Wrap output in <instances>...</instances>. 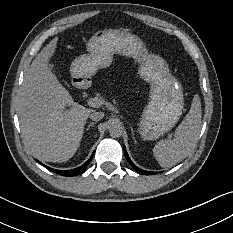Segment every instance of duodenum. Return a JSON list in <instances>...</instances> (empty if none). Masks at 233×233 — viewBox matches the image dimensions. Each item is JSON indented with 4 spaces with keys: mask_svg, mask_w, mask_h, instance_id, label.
Here are the masks:
<instances>
[{
    "mask_svg": "<svg viewBox=\"0 0 233 233\" xmlns=\"http://www.w3.org/2000/svg\"><path fill=\"white\" fill-rule=\"evenodd\" d=\"M75 85L80 90H87L90 86V81L84 77H78L75 80Z\"/></svg>",
    "mask_w": 233,
    "mask_h": 233,
    "instance_id": "1",
    "label": "duodenum"
}]
</instances>
